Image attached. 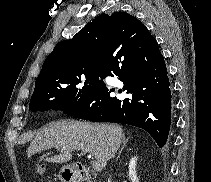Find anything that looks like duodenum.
I'll return each instance as SVG.
<instances>
[{"instance_id":"duodenum-1","label":"duodenum","mask_w":211,"mask_h":182,"mask_svg":"<svg viewBox=\"0 0 211 182\" xmlns=\"http://www.w3.org/2000/svg\"><path fill=\"white\" fill-rule=\"evenodd\" d=\"M75 179L77 182H95L94 175L89 172L87 169L83 168L81 165H78L74 170Z\"/></svg>"}]
</instances>
